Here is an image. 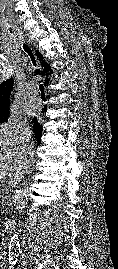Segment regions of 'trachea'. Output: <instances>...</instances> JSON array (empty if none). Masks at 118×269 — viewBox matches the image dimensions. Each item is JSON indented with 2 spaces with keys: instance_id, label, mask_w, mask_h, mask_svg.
<instances>
[{
  "instance_id": "3493384b",
  "label": "trachea",
  "mask_w": 118,
  "mask_h": 269,
  "mask_svg": "<svg viewBox=\"0 0 118 269\" xmlns=\"http://www.w3.org/2000/svg\"><path fill=\"white\" fill-rule=\"evenodd\" d=\"M23 49L25 50L26 53H28V55L30 56L31 60H32V64L34 66H36V60H35V56L33 54V51L31 50V48L28 45H23ZM39 90L41 92V95H45V91H44V85L40 84L39 85Z\"/></svg>"
}]
</instances>
